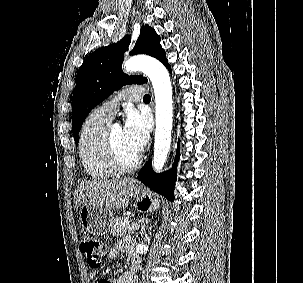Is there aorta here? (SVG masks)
<instances>
[{
    "instance_id": "762f6f07",
    "label": "aorta",
    "mask_w": 303,
    "mask_h": 283,
    "mask_svg": "<svg viewBox=\"0 0 303 283\" xmlns=\"http://www.w3.org/2000/svg\"><path fill=\"white\" fill-rule=\"evenodd\" d=\"M124 71H142L147 75L153 85L155 93V143L153 154V169L160 172L166 162L172 131V87L166 67L157 59L149 56H134L124 63Z\"/></svg>"
}]
</instances>
